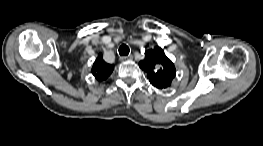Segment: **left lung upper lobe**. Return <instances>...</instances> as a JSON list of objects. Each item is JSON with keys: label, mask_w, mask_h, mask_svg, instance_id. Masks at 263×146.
<instances>
[{"label": "left lung upper lobe", "mask_w": 263, "mask_h": 146, "mask_svg": "<svg viewBox=\"0 0 263 146\" xmlns=\"http://www.w3.org/2000/svg\"><path fill=\"white\" fill-rule=\"evenodd\" d=\"M139 66L148 73L150 83L159 89L170 86L176 75L174 64L160 47L146 51Z\"/></svg>", "instance_id": "obj_1"}]
</instances>
